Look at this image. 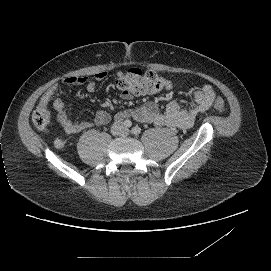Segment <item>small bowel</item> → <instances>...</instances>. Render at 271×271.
I'll list each match as a JSON object with an SVG mask.
<instances>
[{
    "mask_svg": "<svg viewBox=\"0 0 271 271\" xmlns=\"http://www.w3.org/2000/svg\"><path fill=\"white\" fill-rule=\"evenodd\" d=\"M105 72H98L94 79L90 80L81 76H70L63 80V84L67 86L86 85V90L92 93L96 90L97 82L102 81L106 77ZM122 72H118V80L123 77ZM58 85L51 86L41 97V104H48L51 98L56 94ZM122 97L130 100L132 95L128 92H122ZM215 93L210 85L204 86L202 89L192 93L189 97V105L184 107L179 101H170L164 111H160L155 103H146L134 110H124L116 113L118 120L132 117L143 123H152L156 126L189 128L193 125L199 115L207 111L213 104ZM54 108L58 112V120L64 131L67 133H77L87 129L93 125L101 126L108 123L111 119L109 113L98 111L93 121H71L68 119L64 111V102L61 98L54 100ZM64 141L62 137L55 140L56 147H61Z\"/></svg>",
    "mask_w": 271,
    "mask_h": 271,
    "instance_id": "1",
    "label": "small bowel"
}]
</instances>
